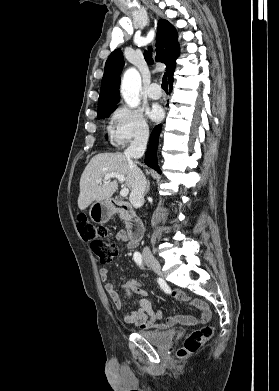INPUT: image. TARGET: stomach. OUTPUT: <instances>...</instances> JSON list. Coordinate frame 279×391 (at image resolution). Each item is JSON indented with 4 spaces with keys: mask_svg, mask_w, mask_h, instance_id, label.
<instances>
[{
    "mask_svg": "<svg viewBox=\"0 0 279 391\" xmlns=\"http://www.w3.org/2000/svg\"><path fill=\"white\" fill-rule=\"evenodd\" d=\"M89 215L95 223H106L113 215L112 205L108 201L92 204Z\"/></svg>",
    "mask_w": 279,
    "mask_h": 391,
    "instance_id": "0dacf381",
    "label": "stomach"
}]
</instances>
